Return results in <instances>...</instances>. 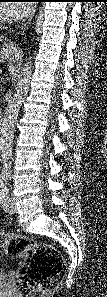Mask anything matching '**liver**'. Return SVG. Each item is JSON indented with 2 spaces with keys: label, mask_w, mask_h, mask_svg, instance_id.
<instances>
[{
  "label": "liver",
  "mask_w": 107,
  "mask_h": 297,
  "mask_svg": "<svg viewBox=\"0 0 107 297\" xmlns=\"http://www.w3.org/2000/svg\"><path fill=\"white\" fill-rule=\"evenodd\" d=\"M20 49L12 43H3L0 48V62L4 63L5 60L16 61L19 59Z\"/></svg>",
  "instance_id": "6515ba94"
}]
</instances>
